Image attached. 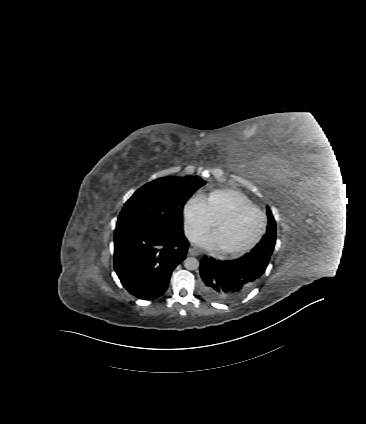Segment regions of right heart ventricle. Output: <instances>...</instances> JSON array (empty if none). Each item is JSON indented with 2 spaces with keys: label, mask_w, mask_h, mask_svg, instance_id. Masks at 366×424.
Instances as JSON below:
<instances>
[{
  "label": "right heart ventricle",
  "mask_w": 366,
  "mask_h": 424,
  "mask_svg": "<svg viewBox=\"0 0 366 424\" xmlns=\"http://www.w3.org/2000/svg\"><path fill=\"white\" fill-rule=\"evenodd\" d=\"M206 213L214 223L231 210L245 204H254L243 192L232 188H219L203 197Z\"/></svg>",
  "instance_id": "obj_1"
}]
</instances>
